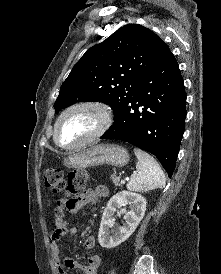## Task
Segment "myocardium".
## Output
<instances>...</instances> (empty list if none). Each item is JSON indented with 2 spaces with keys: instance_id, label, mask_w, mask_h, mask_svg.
I'll return each instance as SVG.
<instances>
[{
  "instance_id": "f54148a6",
  "label": "myocardium",
  "mask_w": 221,
  "mask_h": 274,
  "mask_svg": "<svg viewBox=\"0 0 221 274\" xmlns=\"http://www.w3.org/2000/svg\"><path fill=\"white\" fill-rule=\"evenodd\" d=\"M87 109L92 110L98 117V125L96 129L85 139L76 143V144H62L58 139V131L61 121L71 112L75 110ZM113 123V115L112 111L106 104L94 101V100H83L76 103L69 105L65 108L61 114L58 116L55 125H54V132H53V139L54 142L63 149H78L85 145H88L98 138H100L112 125Z\"/></svg>"
}]
</instances>
